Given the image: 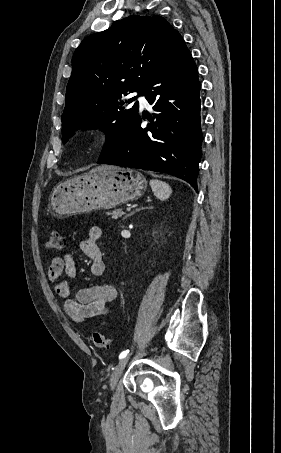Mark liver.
<instances>
[{
	"label": "liver",
	"mask_w": 281,
	"mask_h": 453,
	"mask_svg": "<svg viewBox=\"0 0 281 453\" xmlns=\"http://www.w3.org/2000/svg\"><path fill=\"white\" fill-rule=\"evenodd\" d=\"M107 166H109V164H103V166H96V168H92L90 172H98V170H104V168H107Z\"/></svg>",
	"instance_id": "6515ba94"
}]
</instances>
